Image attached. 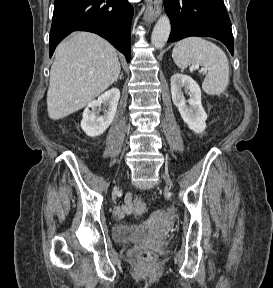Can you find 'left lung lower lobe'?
Here are the masks:
<instances>
[{
    "label": "left lung lower lobe",
    "mask_w": 273,
    "mask_h": 288,
    "mask_svg": "<svg viewBox=\"0 0 273 288\" xmlns=\"http://www.w3.org/2000/svg\"><path fill=\"white\" fill-rule=\"evenodd\" d=\"M171 21L168 42L189 36L213 37L234 53L231 22L223 0H165Z\"/></svg>",
    "instance_id": "1"
}]
</instances>
